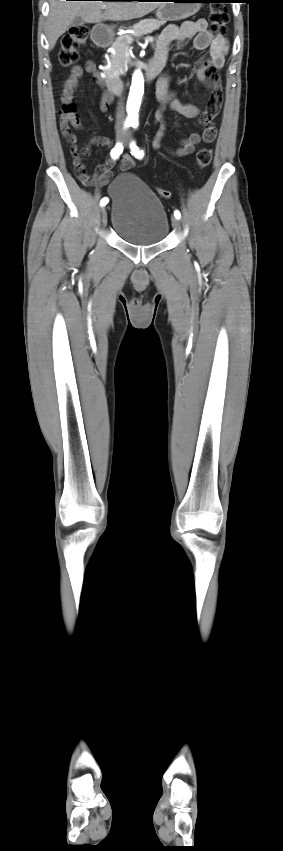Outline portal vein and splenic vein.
<instances>
[{"mask_svg":"<svg viewBox=\"0 0 283 851\" xmlns=\"http://www.w3.org/2000/svg\"><path fill=\"white\" fill-rule=\"evenodd\" d=\"M103 8H105V6H104ZM128 40H129V41H132V38H129ZM153 40H154V39H153V37H152V36H149V37H147V38H146V41H148V42H152Z\"/></svg>","mask_w":283,"mask_h":851,"instance_id":"portal-vein-and-splenic-vein-1","label":"portal vein and splenic vein"}]
</instances>
